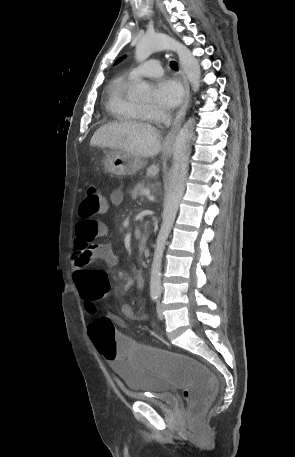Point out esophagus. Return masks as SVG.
I'll return each mask as SVG.
<instances>
[{"label": "esophagus", "mask_w": 295, "mask_h": 457, "mask_svg": "<svg viewBox=\"0 0 295 457\" xmlns=\"http://www.w3.org/2000/svg\"><path fill=\"white\" fill-rule=\"evenodd\" d=\"M179 73L182 77V81H183V85H184V99H183L181 108L177 112L176 117L173 121L172 128L165 139L164 146H163V149L165 152H170L172 150L176 134L182 124V121L184 120V117L186 115V109H187V106L189 103V97H190L189 84H188L187 78H186L184 72L182 71V69H179Z\"/></svg>", "instance_id": "1"}]
</instances>
